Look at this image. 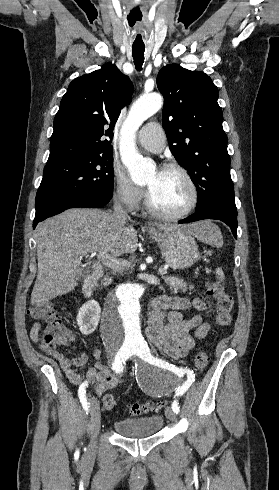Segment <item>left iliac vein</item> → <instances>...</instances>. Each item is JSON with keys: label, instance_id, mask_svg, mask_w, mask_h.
I'll return each mask as SVG.
<instances>
[{"label": "left iliac vein", "instance_id": "obj_1", "mask_svg": "<svg viewBox=\"0 0 279 490\" xmlns=\"http://www.w3.org/2000/svg\"><path fill=\"white\" fill-rule=\"evenodd\" d=\"M165 414H166V417L175 422L177 420V417H176V414L174 413V411L170 408V407H167L166 410H165Z\"/></svg>", "mask_w": 279, "mask_h": 490}]
</instances>
